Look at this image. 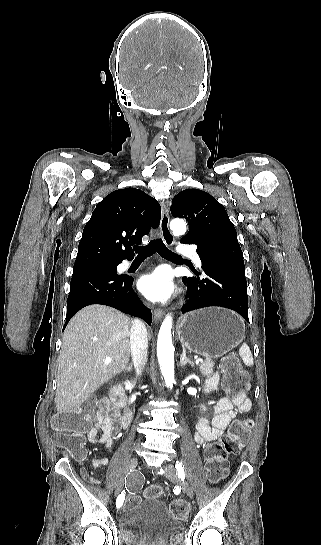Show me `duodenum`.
I'll use <instances>...</instances> for the list:
<instances>
[{"mask_svg": "<svg viewBox=\"0 0 321 545\" xmlns=\"http://www.w3.org/2000/svg\"><path fill=\"white\" fill-rule=\"evenodd\" d=\"M111 399L116 407L122 409V425L128 427L131 423L133 411L128 404L125 394L118 388H114L111 393Z\"/></svg>", "mask_w": 321, "mask_h": 545, "instance_id": "410a0bca", "label": "duodenum"}]
</instances>
